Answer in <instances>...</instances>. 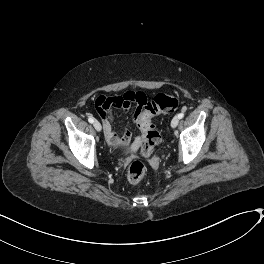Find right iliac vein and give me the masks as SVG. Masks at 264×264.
<instances>
[{"instance_id": "63e3f726", "label": "right iliac vein", "mask_w": 264, "mask_h": 264, "mask_svg": "<svg viewBox=\"0 0 264 264\" xmlns=\"http://www.w3.org/2000/svg\"><path fill=\"white\" fill-rule=\"evenodd\" d=\"M93 126H94V128H95L97 131H101V129H102V126H101V124H100L98 121H94V122H93Z\"/></svg>"}]
</instances>
